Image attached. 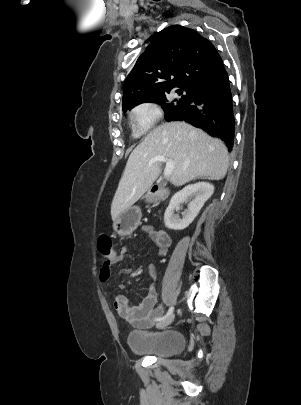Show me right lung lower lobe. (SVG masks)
Returning <instances> with one entry per match:
<instances>
[{
	"label": "right lung lower lobe",
	"instance_id": "1",
	"mask_svg": "<svg viewBox=\"0 0 301 405\" xmlns=\"http://www.w3.org/2000/svg\"><path fill=\"white\" fill-rule=\"evenodd\" d=\"M166 119L185 120L220 138L231 150L235 137V117L227 72L215 82L195 90L192 100Z\"/></svg>",
	"mask_w": 301,
	"mask_h": 405
}]
</instances>
